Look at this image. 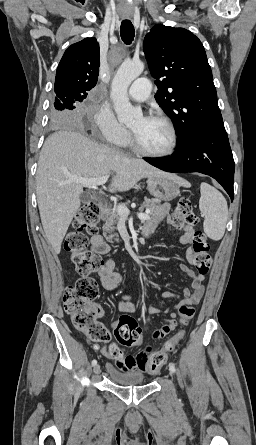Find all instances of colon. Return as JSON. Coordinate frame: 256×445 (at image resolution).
<instances>
[{
    "label": "colon",
    "mask_w": 256,
    "mask_h": 445,
    "mask_svg": "<svg viewBox=\"0 0 256 445\" xmlns=\"http://www.w3.org/2000/svg\"><path fill=\"white\" fill-rule=\"evenodd\" d=\"M100 222V205L94 201L85 203L78 212L73 229L66 237L63 248L71 254L77 273L80 278L66 288L63 296V304L66 312L71 317L73 327L85 334L91 341L98 344L108 343L110 334L107 329L97 321L98 310L94 300L98 295V286L90 274L99 270L103 265L100 255L86 250L88 234H94L98 230ZM197 223V216L193 212L192 204L187 198L179 200L172 216L171 225L176 230H182ZM193 265L199 273L206 274L212 264V255L205 236L197 231L192 242ZM181 318L187 323L195 314V309L185 306L180 310ZM143 329L135 318L123 315L119 318L115 327V337L122 346H141ZM173 348V343L155 351L149 358L147 371L150 374L157 373L167 361V353ZM110 352L115 361H122L123 351L115 344L110 346Z\"/></svg>",
    "instance_id": "obj_1"
}]
</instances>
